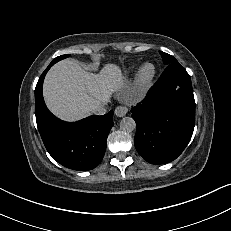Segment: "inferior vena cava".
<instances>
[{
    "label": "inferior vena cava",
    "mask_w": 231,
    "mask_h": 231,
    "mask_svg": "<svg viewBox=\"0 0 231 231\" xmlns=\"http://www.w3.org/2000/svg\"><path fill=\"white\" fill-rule=\"evenodd\" d=\"M92 113L96 114V115H104L107 113L108 111V106L105 104H101V105H98V106H94L92 109H91Z\"/></svg>",
    "instance_id": "obj_1"
}]
</instances>
